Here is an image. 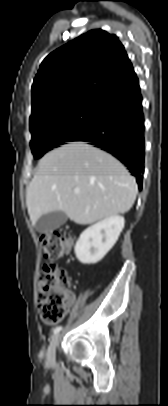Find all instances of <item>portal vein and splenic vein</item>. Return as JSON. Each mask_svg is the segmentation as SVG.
Segmentation results:
<instances>
[{"instance_id":"18ae733b","label":"portal vein and splenic vein","mask_w":168,"mask_h":406,"mask_svg":"<svg viewBox=\"0 0 168 406\" xmlns=\"http://www.w3.org/2000/svg\"><path fill=\"white\" fill-rule=\"evenodd\" d=\"M74 193H75V194H79V193H80V190H79V189H75V190H74Z\"/></svg>"}]
</instances>
